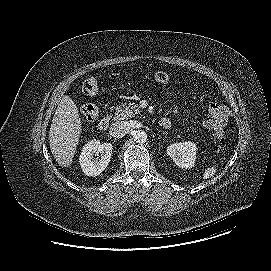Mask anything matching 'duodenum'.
Segmentation results:
<instances>
[{
	"label": "duodenum",
	"mask_w": 271,
	"mask_h": 271,
	"mask_svg": "<svg viewBox=\"0 0 271 271\" xmlns=\"http://www.w3.org/2000/svg\"><path fill=\"white\" fill-rule=\"evenodd\" d=\"M109 123H110V117L106 116L104 118H102L99 122H98V129L102 132L107 131L108 127H109ZM160 125L163 126L164 128H169L171 126V121L169 118H162L160 121Z\"/></svg>",
	"instance_id": "1"
}]
</instances>
